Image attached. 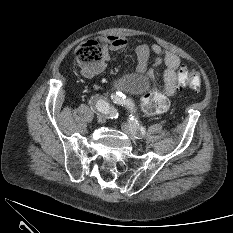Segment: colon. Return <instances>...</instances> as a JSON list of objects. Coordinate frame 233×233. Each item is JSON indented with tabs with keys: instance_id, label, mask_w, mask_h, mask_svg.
<instances>
[{
	"instance_id": "colon-1",
	"label": "colon",
	"mask_w": 233,
	"mask_h": 233,
	"mask_svg": "<svg viewBox=\"0 0 233 233\" xmlns=\"http://www.w3.org/2000/svg\"><path fill=\"white\" fill-rule=\"evenodd\" d=\"M76 58L85 70L93 69L103 63V50L95 39L83 42L76 51ZM178 86L198 90L201 87V79L198 72L182 68L178 73ZM169 107L168 98L158 92L147 93L143 96L140 109L145 115H156L165 112Z\"/></svg>"
}]
</instances>
